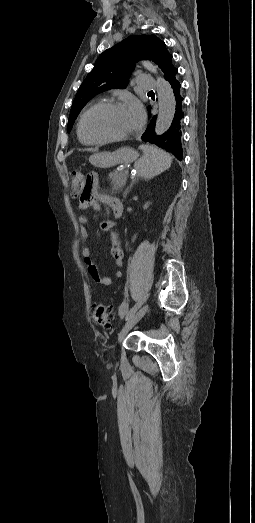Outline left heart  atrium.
<instances>
[{
  "label": "left heart atrium",
  "instance_id": "left-heart-atrium-1",
  "mask_svg": "<svg viewBox=\"0 0 255 523\" xmlns=\"http://www.w3.org/2000/svg\"><path fill=\"white\" fill-rule=\"evenodd\" d=\"M131 106L133 107L134 112L136 114V117H137V120H138V124H140L143 121L144 116H145L144 110H143L142 106L138 102H132Z\"/></svg>",
  "mask_w": 255,
  "mask_h": 523
}]
</instances>
